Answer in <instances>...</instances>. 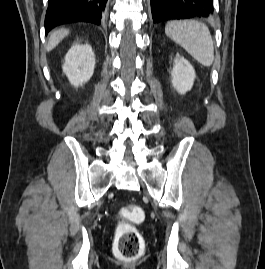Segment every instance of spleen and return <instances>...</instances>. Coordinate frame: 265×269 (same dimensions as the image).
Segmentation results:
<instances>
[{
    "instance_id": "obj_1",
    "label": "spleen",
    "mask_w": 265,
    "mask_h": 269,
    "mask_svg": "<svg viewBox=\"0 0 265 269\" xmlns=\"http://www.w3.org/2000/svg\"><path fill=\"white\" fill-rule=\"evenodd\" d=\"M166 35L183 47L196 61L210 67L214 61V45L209 28L195 20L171 21Z\"/></svg>"
}]
</instances>
